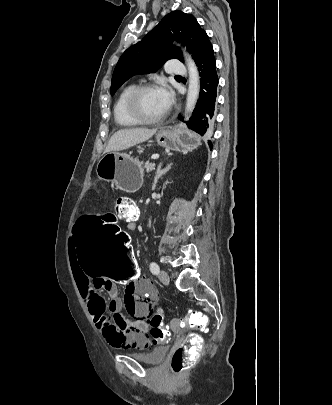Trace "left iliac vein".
<instances>
[{
    "instance_id": "4c4485c4",
    "label": "left iliac vein",
    "mask_w": 332,
    "mask_h": 405,
    "mask_svg": "<svg viewBox=\"0 0 332 405\" xmlns=\"http://www.w3.org/2000/svg\"><path fill=\"white\" fill-rule=\"evenodd\" d=\"M159 280L164 284V285H168L170 282V278L168 273L165 270H161L159 271L158 274Z\"/></svg>"
}]
</instances>
